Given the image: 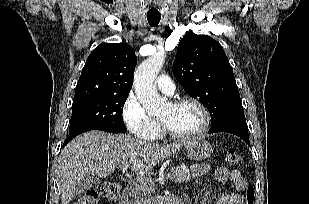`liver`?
I'll return each mask as SVG.
<instances>
[{"label":"liver","instance_id":"1","mask_svg":"<svg viewBox=\"0 0 309 204\" xmlns=\"http://www.w3.org/2000/svg\"><path fill=\"white\" fill-rule=\"evenodd\" d=\"M188 141L157 145L129 135L86 132L72 140L59 156L57 173L62 204L72 199L82 177H108L123 165L130 166L133 171H150Z\"/></svg>","mask_w":309,"mask_h":204}]
</instances>
